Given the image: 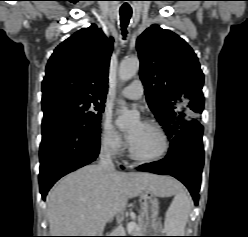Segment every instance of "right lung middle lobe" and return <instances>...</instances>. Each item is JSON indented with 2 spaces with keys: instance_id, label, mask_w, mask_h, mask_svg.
<instances>
[{
  "instance_id": "1",
  "label": "right lung middle lobe",
  "mask_w": 248,
  "mask_h": 237,
  "mask_svg": "<svg viewBox=\"0 0 248 237\" xmlns=\"http://www.w3.org/2000/svg\"><path fill=\"white\" fill-rule=\"evenodd\" d=\"M104 100L61 96L42 102L43 121H63L78 125H100Z\"/></svg>"
}]
</instances>
